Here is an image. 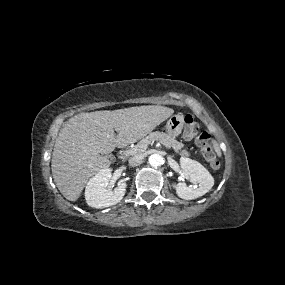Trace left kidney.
Returning a JSON list of instances; mask_svg holds the SVG:
<instances>
[{
	"instance_id": "5707ae66",
	"label": "left kidney",
	"mask_w": 285,
	"mask_h": 285,
	"mask_svg": "<svg viewBox=\"0 0 285 285\" xmlns=\"http://www.w3.org/2000/svg\"><path fill=\"white\" fill-rule=\"evenodd\" d=\"M180 166L189 180L196 184L195 186H187L185 183L172 184L177 195L185 200L196 199L206 194L214 185V179L208 170L199 162L181 157Z\"/></svg>"
}]
</instances>
